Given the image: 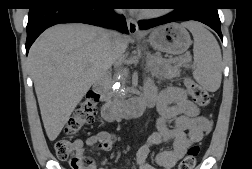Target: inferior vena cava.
Segmentation results:
<instances>
[{"label":"inferior vena cava","instance_id":"inferior-vena-cava-1","mask_svg":"<svg viewBox=\"0 0 252 169\" xmlns=\"http://www.w3.org/2000/svg\"><path fill=\"white\" fill-rule=\"evenodd\" d=\"M116 13H121L120 9H116ZM111 48L116 51L121 48V35L112 31L109 33ZM115 53V52H114Z\"/></svg>","mask_w":252,"mask_h":169}]
</instances>
